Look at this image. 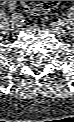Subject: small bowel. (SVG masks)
I'll return each instance as SVG.
<instances>
[{
	"label": "small bowel",
	"mask_w": 74,
	"mask_h": 122,
	"mask_svg": "<svg viewBox=\"0 0 74 122\" xmlns=\"http://www.w3.org/2000/svg\"><path fill=\"white\" fill-rule=\"evenodd\" d=\"M8 4H9V6H14L15 1H8ZM51 9H52V8H51ZM51 9H49L48 11H50Z\"/></svg>",
	"instance_id": "1"
}]
</instances>
